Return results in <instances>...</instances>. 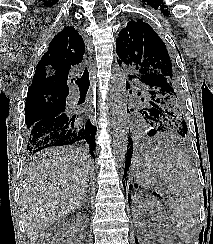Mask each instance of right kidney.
<instances>
[{
    "instance_id": "1",
    "label": "right kidney",
    "mask_w": 213,
    "mask_h": 244,
    "mask_svg": "<svg viewBox=\"0 0 213 244\" xmlns=\"http://www.w3.org/2000/svg\"><path fill=\"white\" fill-rule=\"evenodd\" d=\"M84 219H85V218H81L79 221H80L81 223H84Z\"/></svg>"
}]
</instances>
